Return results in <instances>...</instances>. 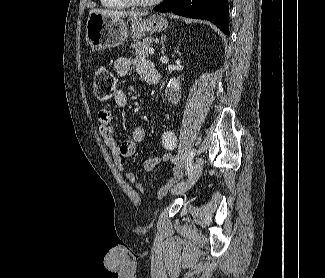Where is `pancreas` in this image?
<instances>
[{
    "label": "pancreas",
    "mask_w": 325,
    "mask_h": 278,
    "mask_svg": "<svg viewBox=\"0 0 325 278\" xmlns=\"http://www.w3.org/2000/svg\"><path fill=\"white\" fill-rule=\"evenodd\" d=\"M153 43L152 37H146L142 41L136 42L131 45V48L135 51V55L138 57L146 58L148 56V50Z\"/></svg>",
    "instance_id": "1"
}]
</instances>
